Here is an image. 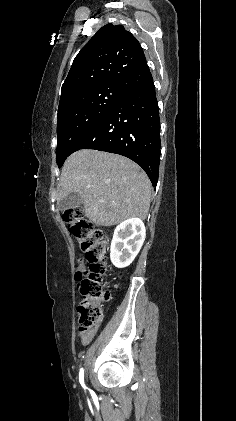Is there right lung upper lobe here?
<instances>
[{
  "instance_id": "1",
  "label": "right lung upper lobe",
  "mask_w": 236,
  "mask_h": 421,
  "mask_svg": "<svg viewBox=\"0 0 236 421\" xmlns=\"http://www.w3.org/2000/svg\"><path fill=\"white\" fill-rule=\"evenodd\" d=\"M147 65L137 39L121 25L100 28L81 49L61 89L59 105L86 91L119 86Z\"/></svg>"
}]
</instances>
